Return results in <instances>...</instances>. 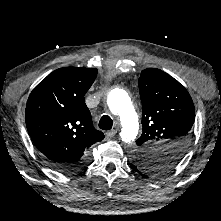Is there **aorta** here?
Wrapping results in <instances>:
<instances>
[{
  "label": "aorta",
  "mask_w": 221,
  "mask_h": 221,
  "mask_svg": "<svg viewBox=\"0 0 221 221\" xmlns=\"http://www.w3.org/2000/svg\"><path fill=\"white\" fill-rule=\"evenodd\" d=\"M107 105L121 124L120 137L122 141L133 142L138 134L139 124L137 114L126 91L119 88L111 90L107 98Z\"/></svg>",
  "instance_id": "obj_1"
}]
</instances>
